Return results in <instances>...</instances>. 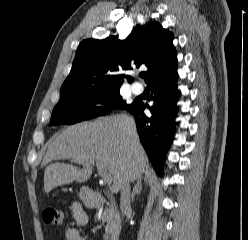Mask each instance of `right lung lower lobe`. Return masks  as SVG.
Returning a JSON list of instances; mask_svg holds the SVG:
<instances>
[{
	"instance_id": "obj_1",
	"label": "right lung lower lobe",
	"mask_w": 248,
	"mask_h": 240,
	"mask_svg": "<svg viewBox=\"0 0 248 240\" xmlns=\"http://www.w3.org/2000/svg\"><path fill=\"white\" fill-rule=\"evenodd\" d=\"M178 74L157 80L150 85L153 105L149 107L141 101H134L125 109L135 117L137 130L142 143L155 171L162 175L163 162L173 141L176 129L175 116L178 111L176 105L179 100L177 89ZM148 108L151 116L144 114Z\"/></svg>"
}]
</instances>
